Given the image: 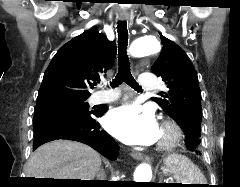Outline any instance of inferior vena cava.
<instances>
[{
    "mask_svg": "<svg viewBox=\"0 0 240 187\" xmlns=\"http://www.w3.org/2000/svg\"><path fill=\"white\" fill-rule=\"evenodd\" d=\"M97 177L99 178V180H103L104 179V176H102L99 172V174L97 175Z\"/></svg>",
    "mask_w": 240,
    "mask_h": 187,
    "instance_id": "obj_1",
    "label": "inferior vena cava"
}]
</instances>
